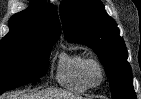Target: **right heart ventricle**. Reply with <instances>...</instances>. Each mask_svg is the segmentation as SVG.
Wrapping results in <instances>:
<instances>
[{"instance_id": "1", "label": "right heart ventricle", "mask_w": 141, "mask_h": 99, "mask_svg": "<svg viewBox=\"0 0 141 99\" xmlns=\"http://www.w3.org/2000/svg\"><path fill=\"white\" fill-rule=\"evenodd\" d=\"M87 57L82 52H64L60 55L57 69L56 80L64 88L83 93L91 87L85 82L82 75V67Z\"/></svg>"}]
</instances>
